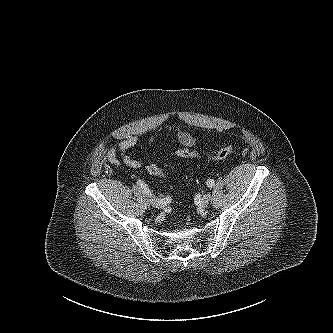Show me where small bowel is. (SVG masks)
Here are the masks:
<instances>
[{
	"mask_svg": "<svg viewBox=\"0 0 333 333\" xmlns=\"http://www.w3.org/2000/svg\"><path fill=\"white\" fill-rule=\"evenodd\" d=\"M178 139L181 144L187 147H192L196 143L195 138L186 132H180L178 134ZM149 141L151 142L152 138H150ZM136 144L137 137L129 136L128 138L118 142L117 144L111 145L106 152L107 160L114 166H121L122 164H125L131 168H140L142 166V163L127 154L129 149L134 147Z\"/></svg>",
	"mask_w": 333,
	"mask_h": 333,
	"instance_id": "c3829d8e",
	"label": "small bowel"
}]
</instances>
